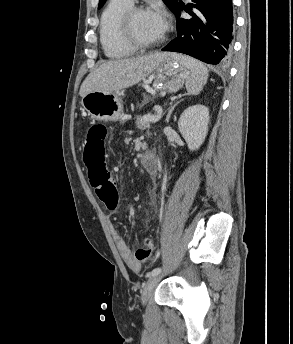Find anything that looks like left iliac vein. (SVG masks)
I'll use <instances>...</instances> for the list:
<instances>
[{
  "label": "left iliac vein",
  "instance_id": "1",
  "mask_svg": "<svg viewBox=\"0 0 293 344\" xmlns=\"http://www.w3.org/2000/svg\"><path fill=\"white\" fill-rule=\"evenodd\" d=\"M159 282V276H153L151 277L144 285L143 290H142V294H141V302L143 305H145L147 303V301L149 300L154 288L156 287V285Z\"/></svg>",
  "mask_w": 293,
  "mask_h": 344
}]
</instances>
